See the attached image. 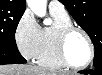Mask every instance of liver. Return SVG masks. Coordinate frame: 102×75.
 I'll list each match as a JSON object with an SVG mask.
<instances>
[{"mask_svg": "<svg viewBox=\"0 0 102 75\" xmlns=\"http://www.w3.org/2000/svg\"><path fill=\"white\" fill-rule=\"evenodd\" d=\"M0 75H63L61 72L47 70L39 66L24 64L2 65Z\"/></svg>", "mask_w": 102, "mask_h": 75, "instance_id": "1", "label": "liver"}]
</instances>
